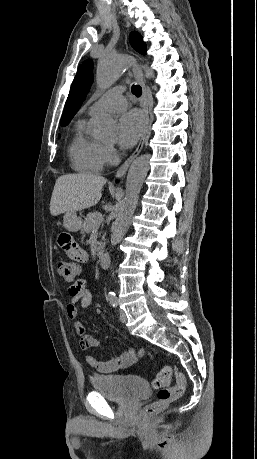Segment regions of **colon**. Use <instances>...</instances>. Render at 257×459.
<instances>
[{"label":"colon","mask_w":257,"mask_h":459,"mask_svg":"<svg viewBox=\"0 0 257 459\" xmlns=\"http://www.w3.org/2000/svg\"><path fill=\"white\" fill-rule=\"evenodd\" d=\"M61 235V234H60ZM81 264H69L68 260H60L57 271L67 283H74L80 274ZM173 370L171 367H163L153 379V387L158 389L157 400L148 405L143 414L153 416L165 409L174 400L180 397L186 389L187 380L182 373H175L176 385L169 387L172 380Z\"/></svg>","instance_id":"5ec220e1"}]
</instances>
